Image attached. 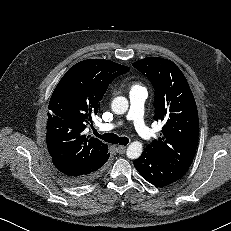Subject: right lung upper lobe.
Here are the masks:
<instances>
[{
	"label": "right lung upper lobe",
	"instance_id": "right-lung-upper-lobe-1",
	"mask_svg": "<svg viewBox=\"0 0 231 231\" xmlns=\"http://www.w3.org/2000/svg\"><path fill=\"white\" fill-rule=\"evenodd\" d=\"M129 67L104 59L72 66L56 86L50 102L46 141L52 160L89 164L108 154V145L85 134L108 85Z\"/></svg>",
	"mask_w": 231,
	"mask_h": 231
}]
</instances>
